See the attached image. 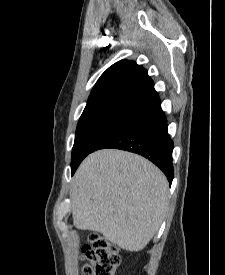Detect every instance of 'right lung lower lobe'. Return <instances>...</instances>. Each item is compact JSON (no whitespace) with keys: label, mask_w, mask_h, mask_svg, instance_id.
Returning a JSON list of instances; mask_svg holds the SVG:
<instances>
[{"label":"right lung lower lobe","mask_w":225,"mask_h":275,"mask_svg":"<svg viewBox=\"0 0 225 275\" xmlns=\"http://www.w3.org/2000/svg\"><path fill=\"white\" fill-rule=\"evenodd\" d=\"M173 147L161 101H158L127 115L96 144L92 152L117 148L140 154L158 166L171 184Z\"/></svg>","instance_id":"right-lung-lower-lobe-1"}]
</instances>
